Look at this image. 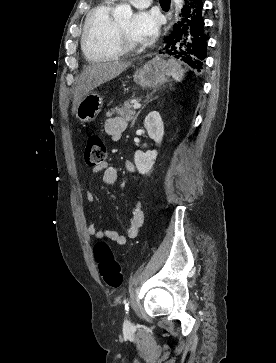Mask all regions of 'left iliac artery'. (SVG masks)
Instances as JSON below:
<instances>
[{
  "label": "left iliac artery",
  "instance_id": "44dca946",
  "mask_svg": "<svg viewBox=\"0 0 276 363\" xmlns=\"http://www.w3.org/2000/svg\"><path fill=\"white\" fill-rule=\"evenodd\" d=\"M124 304H125V307H126V310H128V304H129V298H125L124 299Z\"/></svg>",
  "mask_w": 276,
  "mask_h": 363
}]
</instances>
